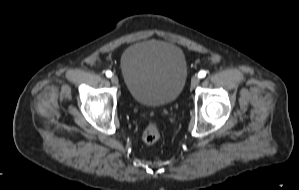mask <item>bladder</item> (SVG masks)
Instances as JSON below:
<instances>
[{"mask_svg": "<svg viewBox=\"0 0 299 190\" xmlns=\"http://www.w3.org/2000/svg\"><path fill=\"white\" fill-rule=\"evenodd\" d=\"M120 68L131 96L145 106L173 102L183 90L188 73L182 49L157 40L128 47L120 58Z\"/></svg>", "mask_w": 299, "mask_h": 190, "instance_id": "1", "label": "bladder"}]
</instances>
